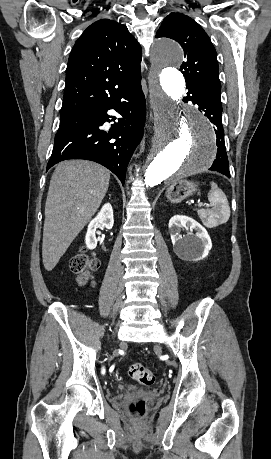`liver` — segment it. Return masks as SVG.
I'll return each mask as SVG.
<instances>
[{"label": "liver", "instance_id": "6515ba94", "mask_svg": "<svg viewBox=\"0 0 271 459\" xmlns=\"http://www.w3.org/2000/svg\"><path fill=\"white\" fill-rule=\"evenodd\" d=\"M106 168L88 160L60 162L52 174L45 204L42 257L51 271L74 237L98 210L109 186Z\"/></svg>", "mask_w": 271, "mask_h": 459}]
</instances>
